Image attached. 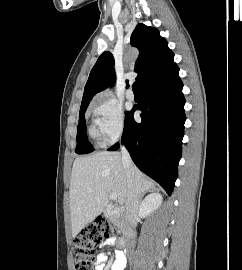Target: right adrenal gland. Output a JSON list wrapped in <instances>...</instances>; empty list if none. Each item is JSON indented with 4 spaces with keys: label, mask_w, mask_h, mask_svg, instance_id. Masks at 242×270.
<instances>
[{
    "label": "right adrenal gland",
    "mask_w": 242,
    "mask_h": 270,
    "mask_svg": "<svg viewBox=\"0 0 242 270\" xmlns=\"http://www.w3.org/2000/svg\"><path fill=\"white\" fill-rule=\"evenodd\" d=\"M146 192H151V190H148V191H146ZM146 192L142 193V194L139 196V202H141V200H142V198L144 197V194H145Z\"/></svg>",
    "instance_id": "2a0ac1e0"
}]
</instances>
